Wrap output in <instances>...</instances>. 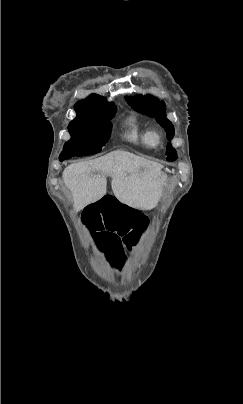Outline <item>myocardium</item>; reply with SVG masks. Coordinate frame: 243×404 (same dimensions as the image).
<instances>
[{
	"instance_id": "1",
	"label": "myocardium",
	"mask_w": 243,
	"mask_h": 404,
	"mask_svg": "<svg viewBox=\"0 0 243 404\" xmlns=\"http://www.w3.org/2000/svg\"><path fill=\"white\" fill-rule=\"evenodd\" d=\"M151 134H152V138H153L154 141L160 142L161 135H160V133H159L158 130L152 129V130H151Z\"/></svg>"
}]
</instances>
